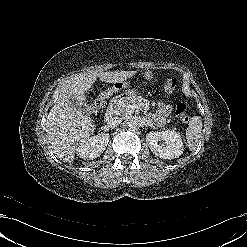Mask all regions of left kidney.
Listing matches in <instances>:
<instances>
[{
	"label": "left kidney",
	"instance_id": "obj_1",
	"mask_svg": "<svg viewBox=\"0 0 247 247\" xmlns=\"http://www.w3.org/2000/svg\"><path fill=\"white\" fill-rule=\"evenodd\" d=\"M146 143L156 156L162 159L178 158L184 150V145L179 132L164 130L146 134Z\"/></svg>",
	"mask_w": 247,
	"mask_h": 247
}]
</instances>
